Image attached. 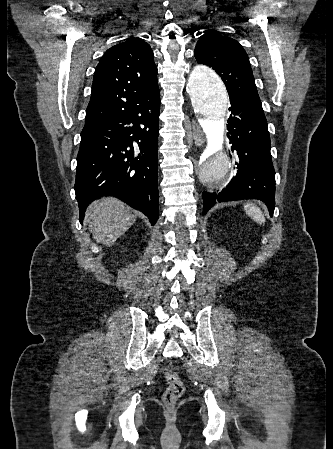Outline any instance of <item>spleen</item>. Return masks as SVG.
<instances>
[{"label":"spleen","instance_id":"3e777b00","mask_svg":"<svg viewBox=\"0 0 333 449\" xmlns=\"http://www.w3.org/2000/svg\"><path fill=\"white\" fill-rule=\"evenodd\" d=\"M244 210L254 221L260 224L265 222L264 214L256 205L247 203L246 205H244Z\"/></svg>","mask_w":333,"mask_h":449}]
</instances>
